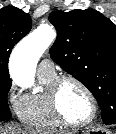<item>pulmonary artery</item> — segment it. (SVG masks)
Instances as JSON below:
<instances>
[{
  "label": "pulmonary artery",
  "mask_w": 116,
  "mask_h": 134,
  "mask_svg": "<svg viewBox=\"0 0 116 134\" xmlns=\"http://www.w3.org/2000/svg\"><path fill=\"white\" fill-rule=\"evenodd\" d=\"M38 73L52 74L55 73V66L52 60L45 58L38 65Z\"/></svg>",
  "instance_id": "e3ab8cb5"
}]
</instances>
